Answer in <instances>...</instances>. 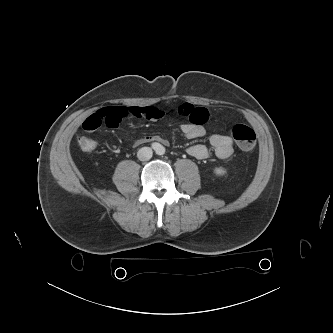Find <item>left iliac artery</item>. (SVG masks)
Segmentation results:
<instances>
[{
    "label": "left iliac artery",
    "instance_id": "obj_1",
    "mask_svg": "<svg viewBox=\"0 0 333 333\" xmlns=\"http://www.w3.org/2000/svg\"><path fill=\"white\" fill-rule=\"evenodd\" d=\"M159 152H160V154H162V153H163V149H162V148H160Z\"/></svg>",
    "mask_w": 333,
    "mask_h": 333
}]
</instances>
